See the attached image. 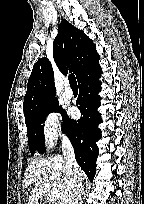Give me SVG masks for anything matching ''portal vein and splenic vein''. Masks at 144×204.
<instances>
[{"label":"portal vein and splenic vein","instance_id":"18ae733b","mask_svg":"<svg viewBox=\"0 0 144 204\" xmlns=\"http://www.w3.org/2000/svg\"><path fill=\"white\" fill-rule=\"evenodd\" d=\"M44 190L46 192H49V197L51 199H59L60 197V192L58 189L56 188H52L51 184L50 183H45L44 184Z\"/></svg>","mask_w":144,"mask_h":204}]
</instances>
